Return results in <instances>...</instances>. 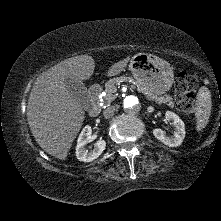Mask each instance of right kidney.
<instances>
[{
    "label": "right kidney",
    "mask_w": 221,
    "mask_h": 221,
    "mask_svg": "<svg viewBox=\"0 0 221 221\" xmlns=\"http://www.w3.org/2000/svg\"><path fill=\"white\" fill-rule=\"evenodd\" d=\"M92 129L89 125L85 126L77 140L76 146V156L79 161L83 162H91L97 159L102 152L105 150L106 142L102 139L98 140L94 144L93 150L86 149L85 145L87 144L88 140L91 138Z\"/></svg>",
    "instance_id": "right-kidney-1"
}]
</instances>
